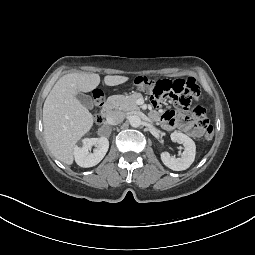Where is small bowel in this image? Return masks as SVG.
Returning a JSON list of instances; mask_svg holds the SVG:
<instances>
[{
	"label": "small bowel",
	"instance_id": "1",
	"mask_svg": "<svg viewBox=\"0 0 255 255\" xmlns=\"http://www.w3.org/2000/svg\"><path fill=\"white\" fill-rule=\"evenodd\" d=\"M152 116L160 119L163 127L167 130H180L192 137H199L203 132L202 125L190 120L180 111H165L164 113L154 111Z\"/></svg>",
	"mask_w": 255,
	"mask_h": 255
}]
</instances>
